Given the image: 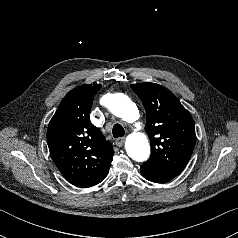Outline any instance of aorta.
Wrapping results in <instances>:
<instances>
[{"label":"aorta","mask_w":238,"mask_h":238,"mask_svg":"<svg viewBox=\"0 0 238 238\" xmlns=\"http://www.w3.org/2000/svg\"><path fill=\"white\" fill-rule=\"evenodd\" d=\"M106 106L115 116L128 123H133L139 117L136 105L122 93L108 94ZM125 147L129 157L135 161L142 162L149 157L150 146L143 133L134 132L130 134L126 139Z\"/></svg>","instance_id":"762f6f07"}]
</instances>
